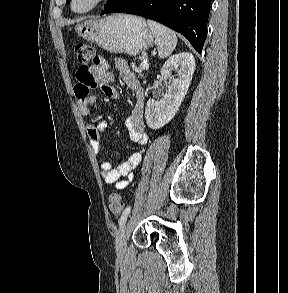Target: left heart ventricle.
<instances>
[{"label":"left heart ventricle","mask_w":288,"mask_h":293,"mask_svg":"<svg viewBox=\"0 0 288 293\" xmlns=\"http://www.w3.org/2000/svg\"><path fill=\"white\" fill-rule=\"evenodd\" d=\"M91 0H77L76 2V8L81 9L86 7Z\"/></svg>","instance_id":"obj_1"}]
</instances>
